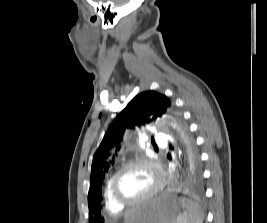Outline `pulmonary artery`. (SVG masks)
Returning <instances> with one entry per match:
<instances>
[{"label": "pulmonary artery", "mask_w": 267, "mask_h": 223, "mask_svg": "<svg viewBox=\"0 0 267 223\" xmlns=\"http://www.w3.org/2000/svg\"><path fill=\"white\" fill-rule=\"evenodd\" d=\"M157 143L160 145V146H163L164 142L160 139H157Z\"/></svg>", "instance_id": "1"}]
</instances>
